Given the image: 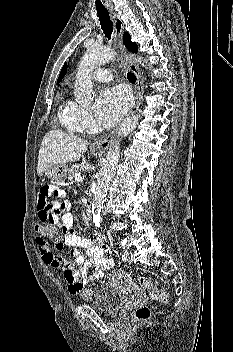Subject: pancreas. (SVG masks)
<instances>
[{
  "instance_id": "pancreas-1",
  "label": "pancreas",
  "mask_w": 233,
  "mask_h": 352,
  "mask_svg": "<svg viewBox=\"0 0 233 352\" xmlns=\"http://www.w3.org/2000/svg\"><path fill=\"white\" fill-rule=\"evenodd\" d=\"M79 171V166L78 165H73L71 168L68 169V178L72 181L75 182V175Z\"/></svg>"
}]
</instances>
